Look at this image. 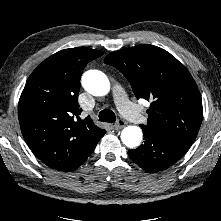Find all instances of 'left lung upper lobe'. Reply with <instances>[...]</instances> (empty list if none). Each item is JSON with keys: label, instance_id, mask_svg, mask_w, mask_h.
I'll return each instance as SVG.
<instances>
[{"label": "left lung upper lobe", "instance_id": "1", "mask_svg": "<svg viewBox=\"0 0 221 221\" xmlns=\"http://www.w3.org/2000/svg\"><path fill=\"white\" fill-rule=\"evenodd\" d=\"M130 82L137 99L151 102L142 130L190 147L200 128L203 108L198 87L174 56L142 44L112 52L104 59Z\"/></svg>", "mask_w": 221, "mask_h": 221}]
</instances>
